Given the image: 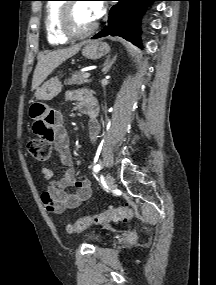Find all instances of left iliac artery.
Instances as JSON below:
<instances>
[{"label": "left iliac artery", "mask_w": 216, "mask_h": 285, "mask_svg": "<svg viewBox=\"0 0 216 285\" xmlns=\"http://www.w3.org/2000/svg\"><path fill=\"white\" fill-rule=\"evenodd\" d=\"M100 169H101V165L100 164L95 165L94 168H93L95 173H98L100 171Z\"/></svg>", "instance_id": "left-iliac-artery-1"}]
</instances>
